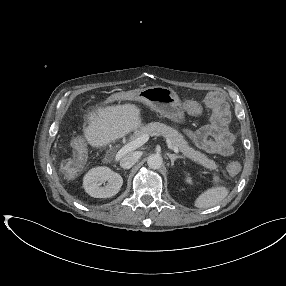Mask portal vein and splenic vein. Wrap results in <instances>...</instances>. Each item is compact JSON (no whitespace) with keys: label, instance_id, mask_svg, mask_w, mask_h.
I'll return each mask as SVG.
<instances>
[{"label":"portal vein and splenic vein","instance_id":"portal-vein-and-splenic-vein-1","mask_svg":"<svg viewBox=\"0 0 286 286\" xmlns=\"http://www.w3.org/2000/svg\"><path fill=\"white\" fill-rule=\"evenodd\" d=\"M155 135V134H152ZM149 134H143L136 138L135 140L131 141L130 143L123 146L116 154V160H119L122 156L127 154L128 152L135 150L142 146L144 143H146L149 140ZM168 148L172 149L175 153L179 152V149L175 146H172L171 143H168Z\"/></svg>","mask_w":286,"mask_h":286}]
</instances>
